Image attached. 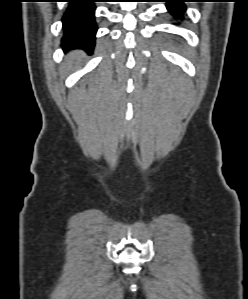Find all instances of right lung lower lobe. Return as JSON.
Segmentation results:
<instances>
[{
  "label": "right lung lower lobe",
  "mask_w": 248,
  "mask_h": 299,
  "mask_svg": "<svg viewBox=\"0 0 248 299\" xmlns=\"http://www.w3.org/2000/svg\"><path fill=\"white\" fill-rule=\"evenodd\" d=\"M69 5L63 15L64 50L83 49L92 52L95 45L97 25L94 4L97 0H67Z\"/></svg>",
  "instance_id": "98d812e1"
}]
</instances>
